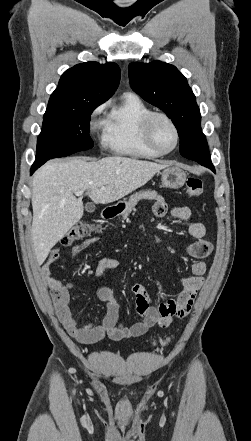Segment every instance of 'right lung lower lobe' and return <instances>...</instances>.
I'll use <instances>...</instances> for the list:
<instances>
[{"instance_id":"1","label":"right lung lower lobe","mask_w":251,"mask_h":441,"mask_svg":"<svg viewBox=\"0 0 251 441\" xmlns=\"http://www.w3.org/2000/svg\"><path fill=\"white\" fill-rule=\"evenodd\" d=\"M47 160H38L36 159V161L34 162V164L31 167V175L33 174V172L39 168L41 165H43Z\"/></svg>"}]
</instances>
